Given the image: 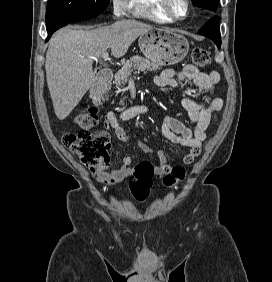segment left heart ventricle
Instances as JSON below:
<instances>
[{"label":"left heart ventricle","instance_id":"obj_1","mask_svg":"<svg viewBox=\"0 0 272 282\" xmlns=\"http://www.w3.org/2000/svg\"><path fill=\"white\" fill-rule=\"evenodd\" d=\"M172 7L175 13L179 15H183L185 12V6L181 0H174Z\"/></svg>","mask_w":272,"mask_h":282}]
</instances>
